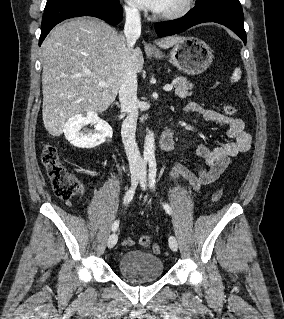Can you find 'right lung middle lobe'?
<instances>
[{
  "instance_id": "dd1d6c3e",
  "label": "right lung middle lobe",
  "mask_w": 284,
  "mask_h": 319,
  "mask_svg": "<svg viewBox=\"0 0 284 319\" xmlns=\"http://www.w3.org/2000/svg\"><path fill=\"white\" fill-rule=\"evenodd\" d=\"M118 1L119 0H47L44 11L50 10L61 4L70 3V2H96V3L114 4Z\"/></svg>"
}]
</instances>
